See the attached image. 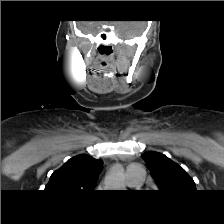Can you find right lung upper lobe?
Masks as SVG:
<instances>
[{
    "mask_svg": "<svg viewBox=\"0 0 224 224\" xmlns=\"http://www.w3.org/2000/svg\"><path fill=\"white\" fill-rule=\"evenodd\" d=\"M102 165L101 159L77 155L53 172L45 189L61 193L92 192Z\"/></svg>",
    "mask_w": 224,
    "mask_h": 224,
    "instance_id": "cb5924a9",
    "label": "right lung upper lobe"
}]
</instances>
